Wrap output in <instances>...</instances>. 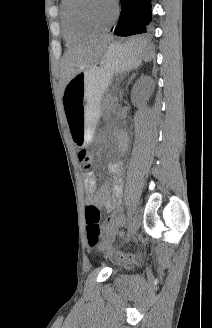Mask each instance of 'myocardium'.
<instances>
[{
    "label": "myocardium",
    "mask_w": 212,
    "mask_h": 328,
    "mask_svg": "<svg viewBox=\"0 0 212 328\" xmlns=\"http://www.w3.org/2000/svg\"><path fill=\"white\" fill-rule=\"evenodd\" d=\"M83 2H85V0H71V3L69 5L68 15H69L70 22H71L72 26L74 27V29H76L78 31L90 32V33L94 34V33L107 31L116 22L119 12H118L117 4L114 3V2H113V7H114L113 17H112L111 21L108 24H106L104 26L96 27V26H92V25L84 22L78 16V13H77V10H78L79 6Z\"/></svg>",
    "instance_id": "f54148a6"
}]
</instances>
